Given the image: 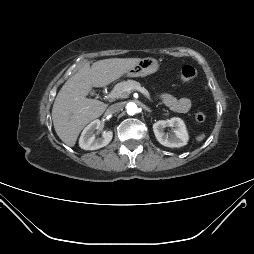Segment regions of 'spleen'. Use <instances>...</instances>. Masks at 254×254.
Returning <instances> with one entry per match:
<instances>
[{"mask_svg":"<svg viewBox=\"0 0 254 254\" xmlns=\"http://www.w3.org/2000/svg\"><path fill=\"white\" fill-rule=\"evenodd\" d=\"M206 135L205 133L200 134L199 136L196 137L197 142H202L205 139Z\"/></svg>","mask_w":254,"mask_h":254,"instance_id":"obj_1","label":"spleen"}]
</instances>
